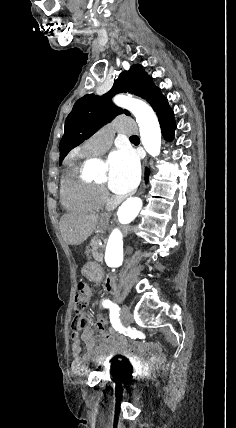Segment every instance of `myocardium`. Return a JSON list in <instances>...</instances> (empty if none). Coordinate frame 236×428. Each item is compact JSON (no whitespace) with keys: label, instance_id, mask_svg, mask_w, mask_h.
<instances>
[{"label":"myocardium","instance_id":"myocardium-1","mask_svg":"<svg viewBox=\"0 0 236 428\" xmlns=\"http://www.w3.org/2000/svg\"><path fill=\"white\" fill-rule=\"evenodd\" d=\"M96 185L99 187V189L105 194V195H107L108 196V191H107V189H106V186H105V184H100V183H96ZM109 198V197H108Z\"/></svg>","mask_w":236,"mask_h":428}]
</instances>
